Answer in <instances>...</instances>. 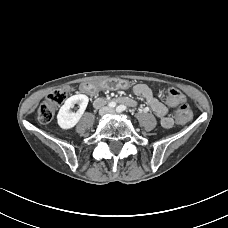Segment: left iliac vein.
<instances>
[{
  "label": "left iliac vein",
  "mask_w": 228,
  "mask_h": 228,
  "mask_svg": "<svg viewBox=\"0 0 228 228\" xmlns=\"http://www.w3.org/2000/svg\"><path fill=\"white\" fill-rule=\"evenodd\" d=\"M114 112H115L114 109H110V110H109V113H112V114H113Z\"/></svg>",
  "instance_id": "1"
}]
</instances>
